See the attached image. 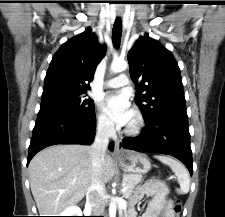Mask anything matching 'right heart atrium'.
Wrapping results in <instances>:
<instances>
[{"label": "right heart atrium", "instance_id": "right-heart-atrium-1", "mask_svg": "<svg viewBox=\"0 0 225 217\" xmlns=\"http://www.w3.org/2000/svg\"><path fill=\"white\" fill-rule=\"evenodd\" d=\"M96 126H97L98 131L102 134H111L113 131L112 122L103 112H99L97 114Z\"/></svg>", "mask_w": 225, "mask_h": 217}]
</instances>
